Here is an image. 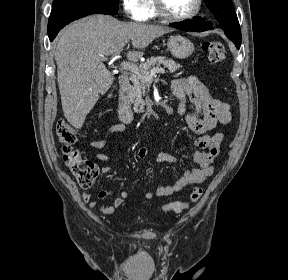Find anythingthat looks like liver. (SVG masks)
<instances>
[{"label":"liver","instance_id":"liver-1","mask_svg":"<svg viewBox=\"0 0 288 280\" xmlns=\"http://www.w3.org/2000/svg\"><path fill=\"white\" fill-rule=\"evenodd\" d=\"M160 25L121 22L109 15H91L80 19L59 34L55 51L57 81L62 109L67 121L80 129L100 94L114 82L102 56L122 51L131 40L135 49H144L154 39L170 32ZM141 51H129V61H138Z\"/></svg>","mask_w":288,"mask_h":280}]
</instances>
